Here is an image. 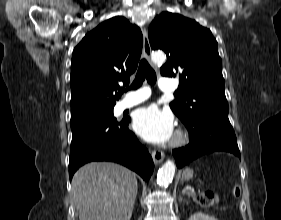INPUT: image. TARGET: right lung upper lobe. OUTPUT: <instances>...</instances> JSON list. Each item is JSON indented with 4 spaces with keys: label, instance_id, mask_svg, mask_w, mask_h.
<instances>
[{
    "label": "right lung upper lobe",
    "instance_id": "1",
    "mask_svg": "<svg viewBox=\"0 0 281 220\" xmlns=\"http://www.w3.org/2000/svg\"><path fill=\"white\" fill-rule=\"evenodd\" d=\"M142 44L141 30L122 16L104 21L82 39L71 61V119L114 107L118 82L129 83Z\"/></svg>",
    "mask_w": 281,
    "mask_h": 220
}]
</instances>
